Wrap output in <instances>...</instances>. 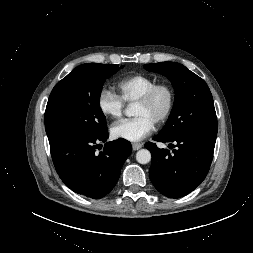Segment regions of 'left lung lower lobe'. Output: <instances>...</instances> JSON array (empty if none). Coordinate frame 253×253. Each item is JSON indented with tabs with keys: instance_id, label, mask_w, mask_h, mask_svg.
Segmentation results:
<instances>
[{
	"instance_id": "left-lung-lower-lobe-1",
	"label": "left lung lower lobe",
	"mask_w": 253,
	"mask_h": 253,
	"mask_svg": "<svg viewBox=\"0 0 253 253\" xmlns=\"http://www.w3.org/2000/svg\"><path fill=\"white\" fill-rule=\"evenodd\" d=\"M153 140L167 142L169 150L148 142L152 154L149 177L154 187L169 198H180L192 192L205 179L213 158L216 138L201 134H186L172 139L159 135Z\"/></svg>"
}]
</instances>
